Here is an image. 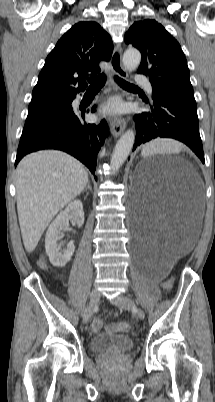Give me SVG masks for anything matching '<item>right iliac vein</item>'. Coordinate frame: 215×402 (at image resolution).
<instances>
[{
    "label": "right iliac vein",
    "mask_w": 215,
    "mask_h": 402,
    "mask_svg": "<svg viewBox=\"0 0 215 402\" xmlns=\"http://www.w3.org/2000/svg\"><path fill=\"white\" fill-rule=\"evenodd\" d=\"M100 299V293L97 290H92L90 293V303L83 314V321L84 323H88L92 313L94 311V307L97 305Z\"/></svg>",
    "instance_id": "obj_1"
}]
</instances>
